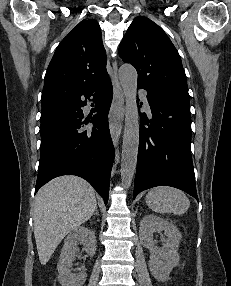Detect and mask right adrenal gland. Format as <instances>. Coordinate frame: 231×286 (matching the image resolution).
<instances>
[{
    "label": "right adrenal gland",
    "mask_w": 231,
    "mask_h": 286,
    "mask_svg": "<svg viewBox=\"0 0 231 286\" xmlns=\"http://www.w3.org/2000/svg\"><path fill=\"white\" fill-rule=\"evenodd\" d=\"M94 215H99V211H98V209L96 208V210H95V213H94Z\"/></svg>",
    "instance_id": "1"
}]
</instances>
